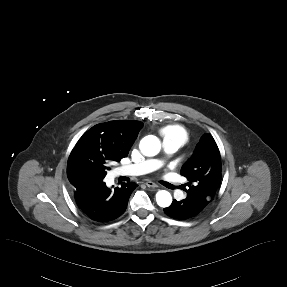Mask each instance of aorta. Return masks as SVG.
<instances>
[{
	"instance_id": "obj_1",
	"label": "aorta",
	"mask_w": 287,
	"mask_h": 287,
	"mask_svg": "<svg viewBox=\"0 0 287 287\" xmlns=\"http://www.w3.org/2000/svg\"><path fill=\"white\" fill-rule=\"evenodd\" d=\"M139 148L145 156H155L161 149L159 139L154 135L145 136L141 141ZM156 202L160 207H169L172 203V196L166 190H160L156 193Z\"/></svg>"
}]
</instances>
